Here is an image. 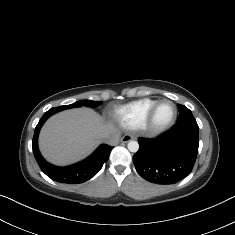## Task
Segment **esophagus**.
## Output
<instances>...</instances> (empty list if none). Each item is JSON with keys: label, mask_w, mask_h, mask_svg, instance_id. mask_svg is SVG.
<instances>
[{"label": "esophagus", "mask_w": 235, "mask_h": 235, "mask_svg": "<svg viewBox=\"0 0 235 235\" xmlns=\"http://www.w3.org/2000/svg\"><path fill=\"white\" fill-rule=\"evenodd\" d=\"M132 139H135V137L131 134H125L121 139H120V142L121 143H127L129 142L130 140Z\"/></svg>", "instance_id": "34e87169"}]
</instances>
